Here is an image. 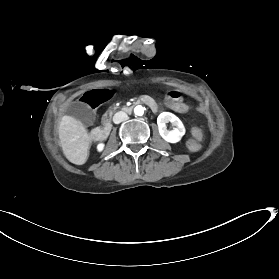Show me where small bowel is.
<instances>
[{"label":"small bowel","instance_id":"small-bowel-1","mask_svg":"<svg viewBox=\"0 0 279 279\" xmlns=\"http://www.w3.org/2000/svg\"><path fill=\"white\" fill-rule=\"evenodd\" d=\"M183 92L178 88H170L167 90V98L172 102H178L181 100Z\"/></svg>","mask_w":279,"mask_h":279}]
</instances>
